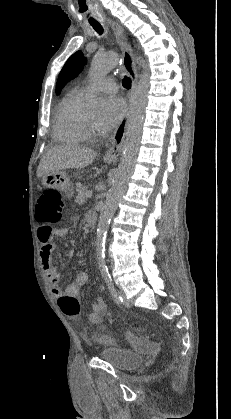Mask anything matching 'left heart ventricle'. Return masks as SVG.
I'll list each match as a JSON object with an SVG mask.
<instances>
[{
  "instance_id": "b2bd125f",
  "label": "left heart ventricle",
  "mask_w": 231,
  "mask_h": 419,
  "mask_svg": "<svg viewBox=\"0 0 231 419\" xmlns=\"http://www.w3.org/2000/svg\"><path fill=\"white\" fill-rule=\"evenodd\" d=\"M88 118L92 123L97 124L98 115H88Z\"/></svg>"
}]
</instances>
